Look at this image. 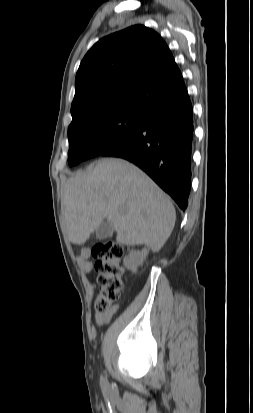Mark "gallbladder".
<instances>
[{
  "label": "gallbladder",
  "instance_id": "1",
  "mask_svg": "<svg viewBox=\"0 0 253 413\" xmlns=\"http://www.w3.org/2000/svg\"><path fill=\"white\" fill-rule=\"evenodd\" d=\"M114 227L111 222L103 221L96 229V238L97 239H105L113 234Z\"/></svg>",
  "mask_w": 253,
  "mask_h": 413
}]
</instances>
